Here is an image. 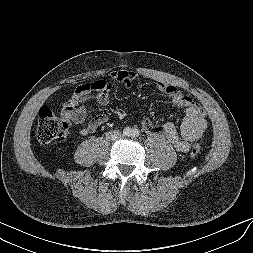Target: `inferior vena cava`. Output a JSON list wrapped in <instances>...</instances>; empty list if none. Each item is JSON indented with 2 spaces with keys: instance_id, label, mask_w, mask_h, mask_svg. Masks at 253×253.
Wrapping results in <instances>:
<instances>
[{
  "instance_id": "inferior-vena-cava-1",
  "label": "inferior vena cava",
  "mask_w": 253,
  "mask_h": 253,
  "mask_svg": "<svg viewBox=\"0 0 253 253\" xmlns=\"http://www.w3.org/2000/svg\"><path fill=\"white\" fill-rule=\"evenodd\" d=\"M122 137V133L119 130H113L106 133V138L109 141H117Z\"/></svg>"
}]
</instances>
